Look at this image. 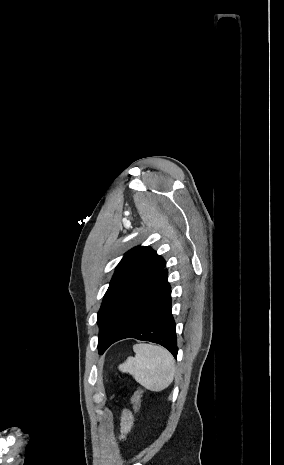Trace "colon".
Listing matches in <instances>:
<instances>
[{
    "mask_svg": "<svg viewBox=\"0 0 284 465\" xmlns=\"http://www.w3.org/2000/svg\"><path fill=\"white\" fill-rule=\"evenodd\" d=\"M133 405L137 411L141 410L142 406V391L140 389L136 390L133 398H132Z\"/></svg>",
    "mask_w": 284,
    "mask_h": 465,
    "instance_id": "5ec220e1",
    "label": "colon"
}]
</instances>
